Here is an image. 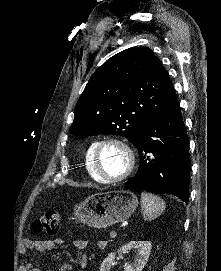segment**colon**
<instances>
[{
	"label": "colon",
	"mask_w": 221,
	"mask_h": 271,
	"mask_svg": "<svg viewBox=\"0 0 221 271\" xmlns=\"http://www.w3.org/2000/svg\"><path fill=\"white\" fill-rule=\"evenodd\" d=\"M58 223L59 213L57 211H46L43 212L33 223V231L35 233L43 231L54 233L58 229Z\"/></svg>",
	"instance_id": "colon-1"
}]
</instances>
